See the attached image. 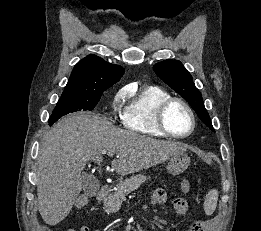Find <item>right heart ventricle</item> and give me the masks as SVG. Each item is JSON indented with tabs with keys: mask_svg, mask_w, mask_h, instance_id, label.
I'll return each mask as SVG.
<instances>
[{
	"mask_svg": "<svg viewBox=\"0 0 261 231\" xmlns=\"http://www.w3.org/2000/svg\"><path fill=\"white\" fill-rule=\"evenodd\" d=\"M128 98L121 113L123 126L144 136L166 137L157 125V110L161 103L171 95L166 90L149 86L134 91L126 88Z\"/></svg>",
	"mask_w": 261,
	"mask_h": 231,
	"instance_id": "e07e8e85",
	"label": "right heart ventricle"
}]
</instances>
